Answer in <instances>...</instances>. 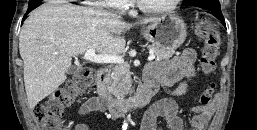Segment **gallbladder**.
I'll return each instance as SVG.
<instances>
[{
  "label": "gallbladder",
  "mask_w": 257,
  "mask_h": 130,
  "mask_svg": "<svg viewBox=\"0 0 257 130\" xmlns=\"http://www.w3.org/2000/svg\"><path fill=\"white\" fill-rule=\"evenodd\" d=\"M76 72V67H70L69 69H68V74H74Z\"/></svg>",
  "instance_id": "obj_1"
}]
</instances>
